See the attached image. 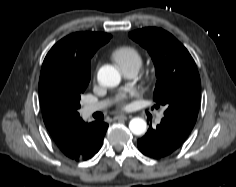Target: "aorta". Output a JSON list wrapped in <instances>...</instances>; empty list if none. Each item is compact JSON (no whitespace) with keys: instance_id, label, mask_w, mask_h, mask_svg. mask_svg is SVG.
Listing matches in <instances>:
<instances>
[{"instance_id":"762f6f07","label":"aorta","mask_w":236,"mask_h":187,"mask_svg":"<svg viewBox=\"0 0 236 187\" xmlns=\"http://www.w3.org/2000/svg\"><path fill=\"white\" fill-rule=\"evenodd\" d=\"M98 82L106 87H116L121 81V75L111 65L102 66L97 75ZM129 129L134 135H143L147 130L146 121L136 117L129 122Z\"/></svg>"}]
</instances>
